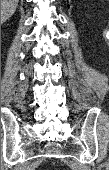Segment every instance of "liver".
<instances>
[{
    "label": "liver",
    "mask_w": 109,
    "mask_h": 170,
    "mask_svg": "<svg viewBox=\"0 0 109 170\" xmlns=\"http://www.w3.org/2000/svg\"><path fill=\"white\" fill-rule=\"evenodd\" d=\"M19 0H1V22L4 23L9 19L18 5Z\"/></svg>",
    "instance_id": "6515ba94"
}]
</instances>
